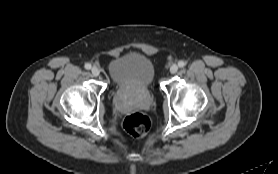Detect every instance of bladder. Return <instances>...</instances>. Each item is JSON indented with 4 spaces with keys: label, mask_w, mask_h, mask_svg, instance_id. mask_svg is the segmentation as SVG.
<instances>
[{
    "label": "bladder",
    "mask_w": 278,
    "mask_h": 174,
    "mask_svg": "<svg viewBox=\"0 0 278 174\" xmlns=\"http://www.w3.org/2000/svg\"><path fill=\"white\" fill-rule=\"evenodd\" d=\"M108 71L114 88L124 92H148L154 82L152 62L134 51L113 58Z\"/></svg>",
    "instance_id": "obj_1"
}]
</instances>
